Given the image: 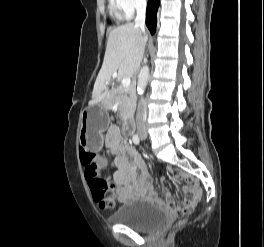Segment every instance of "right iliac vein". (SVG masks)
<instances>
[{
  "label": "right iliac vein",
  "mask_w": 264,
  "mask_h": 247,
  "mask_svg": "<svg viewBox=\"0 0 264 247\" xmlns=\"http://www.w3.org/2000/svg\"><path fill=\"white\" fill-rule=\"evenodd\" d=\"M139 134H140L142 137H145V136H146V131H145V129L140 130Z\"/></svg>",
  "instance_id": "obj_1"
}]
</instances>
